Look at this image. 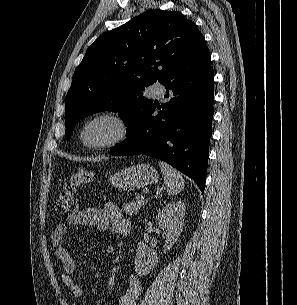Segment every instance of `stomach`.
<instances>
[{
	"label": "stomach",
	"mask_w": 297,
	"mask_h": 305,
	"mask_svg": "<svg viewBox=\"0 0 297 305\" xmlns=\"http://www.w3.org/2000/svg\"><path fill=\"white\" fill-rule=\"evenodd\" d=\"M109 181L122 191H133L158 181V173L150 164H138L118 170Z\"/></svg>",
	"instance_id": "0dacf381"
}]
</instances>
